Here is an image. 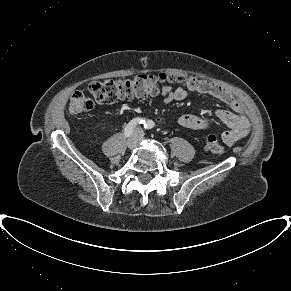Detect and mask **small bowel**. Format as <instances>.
Masks as SVG:
<instances>
[{"label":"small bowel","mask_w":291,"mask_h":291,"mask_svg":"<svg viewBox=\"0 0 291 291\" xmlns=\"http://www.w3.org/2000/svg\"><path fill=\"white\" fill-rule=\"evenodd\" d=\"M188 91L213 96L231 108L232 111L221 109L215 111L216 117L227 127L221 134L222 141L226 145H233L248 135L249 121L244 114L242 104L232 92L219 83L190 78L186 85H181L175 89L166 87L163 90V100L165 103L182 101L186 99ZM178 122L180 125L194 130H207L212 127L209 120L193 114H182L178 118Z\"/></svg>","instance_id":"small-bowel-1"}]
</instances>
